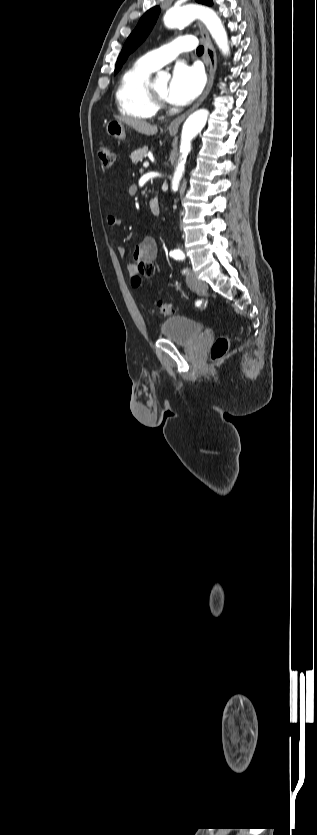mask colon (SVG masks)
I'll list each match as a JSON object with an SVG mask.
<instances>
[{"label": "colon", "mask_w": 317, "mask_h": 835, "mask_svg": "<svg viewBox=\"0 0 317 835\" xmlns=\"http://www.w3.org/2000/svg\"><path fill=\"white\" fill-rule=\"evenodd\" d=\"M98 155L102 165L105 168H111L115 161V154L113 149L109 145H101L98 149ZM155 272V266L152 262L149 261H140L137 264L135 273L131 276V285L134 288H139L144 280L148 277H151ZM175 308L172 303L161 302L158 303L153 312L158 316H170L174 313ZM230 346V339L227 337H220L218 338L212 348H211V358L212 360H219L223 358Z\"/></svg>", "instance_id": "5ec220e1"}]
</instances>
